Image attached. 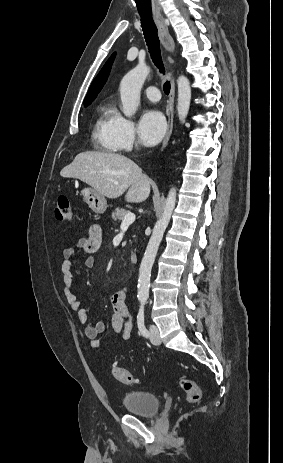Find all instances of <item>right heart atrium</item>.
Instances as JSON below:
<instances>
[{
    "instance_id": "right-heart-atrium-1",
    "label": "right heart atrium",
    "mask_w": 283,
    "mask_h": 463,
    "mask_svg": "<svg viewBox=\"0 0 283 463\" xmlns=\"http://www.w3.org/2000/svg\"><path fill=\"white\" fill-rule=\"evenodd\" d=\"M115 135L123 150H131L137 145L134 123L118 113L115 119Z\"/></svg>"
}]
</instances>
